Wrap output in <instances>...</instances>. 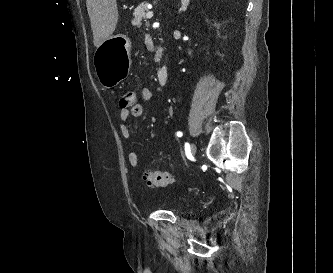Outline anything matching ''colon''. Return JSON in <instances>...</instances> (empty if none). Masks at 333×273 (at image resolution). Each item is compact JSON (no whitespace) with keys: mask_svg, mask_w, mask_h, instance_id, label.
I'll return each instance as SVG.
<instances>
[{"mask_svg":"<svg viewBox=\"0 0 333 273\" xmlns=\"http://www.w3.org/2000/svg\"><path fill=\"white\" fill-rule=\"evenodd\" d=\"M136 94L133 91H126L120 97L121 108H129L136 103ZM144 179L149 185L168 186L172 182L169 172L163 170H151L144 175Z\"/></svg>","mask_w":333,"mask_h":273,"instance_id":"5ec220e1","label":"colon"}]
</instances>
